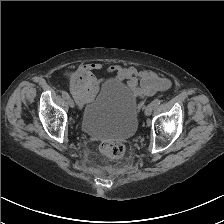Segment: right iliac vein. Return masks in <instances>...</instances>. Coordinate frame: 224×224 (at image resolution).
<instances>
[{
	"instance_id": "1",
	"label": "right iliac vein",
	"mask_w": 224,
	"mask_h": 224,
	"mask_svg": "<svg viewBox=\"0 0 224 224\" xmlns=\"http://www.w3.org/2000/svg\"><path fill=\"white\" fill-rule=\"evenodd\" d=\"M67 103H68V105H69L71 108H74L75 104H74V101H73L71 98H68V99H67Z\"/></svg>"
}]
</instances>
